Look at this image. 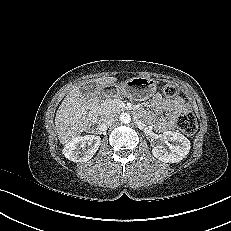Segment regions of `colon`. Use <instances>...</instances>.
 I'll return each instance as SVG.
<instances>
[{
  "label": "colon",
  "instance_id": "1",
  "mask_svg": "<svg viewBox=\"0 0 231 231\" xmlns=\"http://www.w3.org/2000/svg\"><path fill=\"white\" fill-rule=\"evenodd\" d=\"M163 94L166 97H174L177 94V89L173 85H165ZM177 127L186 135H193L197 131V121L193 113H184L177 118Z\"/></svg>",
  "mask_w": 231,
  "mask_h": 231
}]
</instances>
